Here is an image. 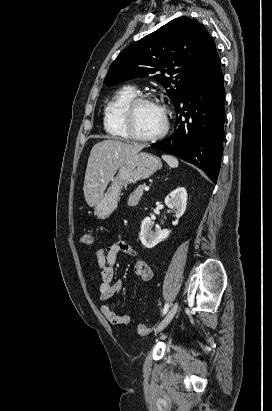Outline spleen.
Segmentation results:
<instances>
[{
    "label": "spleen",
    "mask_w": 272,
    "mask_h": 411,
    "mask_svg": "<svg viewBox=\"0 0 272 411\" xmlns=\"http://www.w3.org/2000/svg\"><path fill=\"white\" fill-rule=\"evenodd\" d=\"M162 158L166 161V163L172 167V168H176L179 165V162L177 160V158H175L174 156H170V155H162Z\"/></svg>",
    "instance_id": "1"
}]
</instances>
